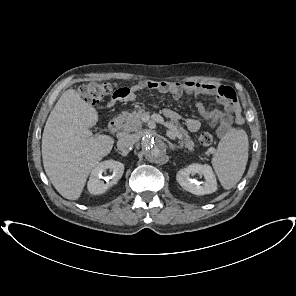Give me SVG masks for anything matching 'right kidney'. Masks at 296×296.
I'll list each match as a JSON object with an SVG mask.
<instances>
[{
    "instance_id": "right-kidney-1",
    "label": "right kidney",
    "mask_w": 296,
    "mask_h": 296,
    "mask_svg": "<svg viewBox=\"0 0 296 296\" xmlns=\"http://www.w3.org/2000/svg\"><path fill=\"white\" fill-rule=\"evenodd\" d=\"M109 169L113 174L110 177H106V183L101 179L103 172ZM124 172V165L115 160H106L98 163L93 170L87 184L88 191L91 194H103L106 190L112 187L122 177Z\"/></svg>"
}]
</instances>
